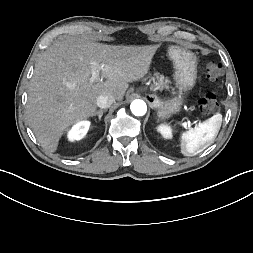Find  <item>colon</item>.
Wrapping results in <instances>:
<instances>
[{"label": "colon", "mask_w": 253, "mask_h": 253, "mask_svg": "<svg viewBox=\"0 0 253 253\" xmlns=\"http://www.w3.org/2000/svg\"><path fill=\"white\" fill-rule=\"evenodd\" d=\"M206 74L210 80L218 79L222 74V67L216 62H209L206 65ZM199 109L206 114L216 111L218 104L214 93H206L198 102Z\"/></svg>", "instance_id": "obj_1"}]
</instances>
